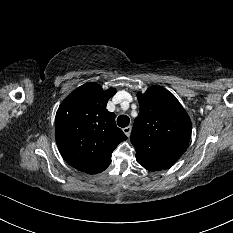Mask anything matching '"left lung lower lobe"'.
<instances>
[{"label":"left lung lower lobe","mask_w":233,"mask_h":233,"mask_svg":"<svg viewBox=\"0 0 233 233\" xmlns=\"http://www.w3.org/2000/svg\"><path fill=\"white\" fill-rule=\"evenodd\" d=\"M140 165H142L144 168H146L147 170H150V171H160L159 169L155 168V167H151V166H148V165H145L141 162H138Z\"/></svg>","instance_id":"1"}]
</instances>
